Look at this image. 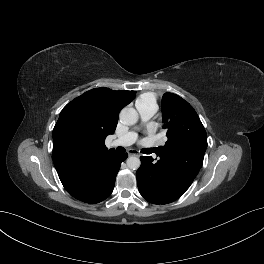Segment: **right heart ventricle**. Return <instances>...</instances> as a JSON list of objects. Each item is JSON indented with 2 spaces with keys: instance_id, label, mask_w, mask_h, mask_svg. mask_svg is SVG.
I'll return each instance as SVG.
<instances>
[{
  "instance_id": "right-heart-ventricle-1",
  "label": "right heart ventricle",
  "mask_w": 264,
  "mask_h": 264,
  "mask_svg": "<svg viewBox=\"0 0 264 264\" xmlns=\"http://www.w3.org/2000/svg\"><path fill=\"white\" fill-rule=\"evenodd\" d=\"M138 106H153L157 108L156 96L150 92L141 94L136 100V107Z\"/></svg>"
}]
</instances>
